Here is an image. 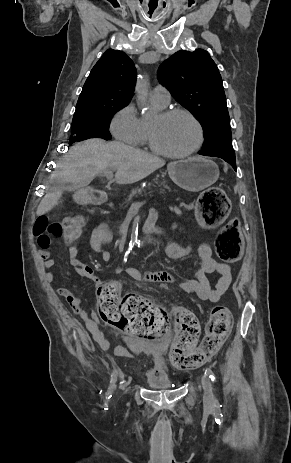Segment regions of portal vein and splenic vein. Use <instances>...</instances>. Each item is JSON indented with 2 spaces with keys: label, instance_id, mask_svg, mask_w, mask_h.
Here are the masks:
<instances>
[{
  "label": "portal vein and splenic vein",
  "instance_id": "18ae733b",
  "mask_svg": "<svg viewBox=\"0 0 291 463\" xmlns=\"http://www.w3.org/2000/svg\"><path fill=\"white\" fill-rule=\"evenodd\" d=\"M105 175H106L107 178H112V176H113L112 172H110V171L105 172ZM142 204L143 203H141V202H135V203L132 204V207L135 208V209H139L142 206Z\"/></svg>",
  "mask_w": 291,
  "mask_h": 463
}]
</instances>
